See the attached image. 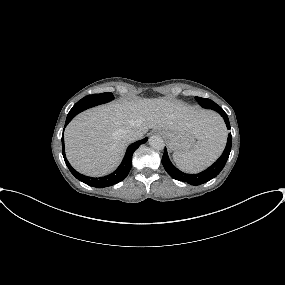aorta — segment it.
Instances as JSON below:
<instances>
[{
  "mask_svg": "<svg viewBox=\"0 0 285 285\" xmlns=\"http://www.w3.org/2000/svg\"><path fill=\"white\" fill-rule=\"evenodd\" d=\"M149 144L155 150H162L165 146L163 139L157 135H153L149 138Z\"/></svg>",
  "mask_w": 285,
  "mask_h": 285,
  "instance_id": "1",
  "label": "aorta"
}]
</instances>
